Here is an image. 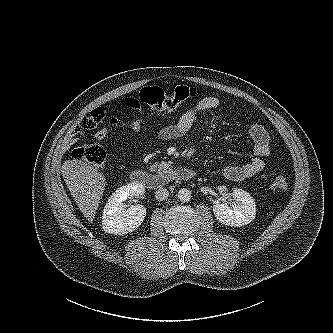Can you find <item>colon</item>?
Masks as SVG:
<instances>
[{"mask_svg":"<svg viewBox=\"0 0 333 333\" xmlns=\"http://www.w3.org/2000/svg\"><path fill=\"white\" fill-rule=\"evenodd\" d=\"M195 95V88L190 86H176L170 90H165L158 86H152L142 88L139 92L138 99L154 109L172 111L177 109L184 101ZM72 157L75 160L83 161L95 167H100L106 160V153L98 143L89 142L74 149ZM287 185V178L283 175H279L271 181L270 188L274 190L285 189Z\"/></svg>","mask_w":333,"mask_h":333,"instance_id":"colon-1","label":"colon"}]
</instances>
